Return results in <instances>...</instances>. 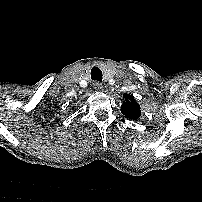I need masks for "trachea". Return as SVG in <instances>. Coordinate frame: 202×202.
Returning <instances> with one entry per match:
<instances>
[{
    "label": "trachea",
    "instance_id": "3493384b",
    "mask_svg": "<svg viewBox=\"0 0 202 202\" xmlns=\"http://www.w3.org/2000/svg\"><path fill=\"white\" fill-rule=\"evenodd\" d=\"M91 78L92 80L102 81V71L98 67H93L91 69Z\"/></svg>",
    "mask_w": 202,
    "mask_h": 202
}]
</instances>
